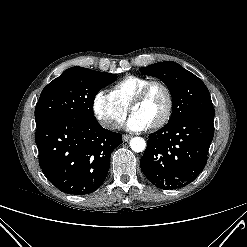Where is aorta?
<instances>
[{"label":"aorta","instance_id":"1","mask_svg":"<svg viewBox=\"0 0 247 247\" xmlns=\"http://www.w3.org/2000/svg\"><path fill=\"white\" fill-rule=\"evenodd\" d=\"M130 147L134 152H142L146 148V142L142 137H134L130 141Z\"/></svg>","mask_w":247,"mask_h":247}]
</instances>
